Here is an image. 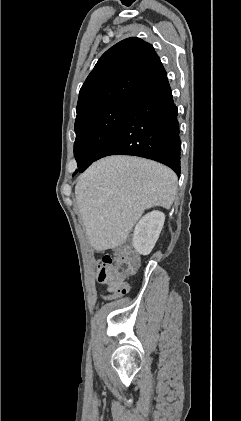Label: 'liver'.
<instances>
[{
  "label": "liver",
  "instance_id": "6515ba94",
  "mask_svg": "<svg viewBox=\"0 0 241 421\" xmlns=\"http://www.w3.org/2000/svg\"><path fill=\"white\" fill-rule=\"evenodd\" d=\"M177 194V176L144 158L109 156L79 176L76 205L90 245L105 251L124 244L146 209H169Z\"/></svg>",
  "mask_w": 241,
  "mask_h": 421
}]
</instances>
